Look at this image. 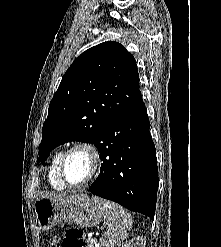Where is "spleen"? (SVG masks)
<instances>
[{"label": "spleen", "instance_id": "spleen-1", "mask_svg": "<svg viewBox=\"0 0 221 247\" xmlns=\"http://www.w3.org/2000/svg\"><path fill=\"white\" fill-rule=\"evenodd\" d=\"M103 216L107 232L102 236L101 244L106 247L120 245L129 235L131 214L120 205L106 201L103 203Z\"/></svg>", "mask_w": 221, "mask_h": 247}]
</instances>
